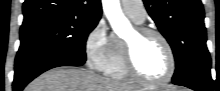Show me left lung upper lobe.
<instances>
[{"mask_svg":"<svg viewBox=\"0 0 220 91\" xmlns=\"http://www.w3.org/2000/svg\"><path fill=\"white\" fill-rule=\"evenodd\" d=\"M175 57L173 78L201 66H210L201 0H143Z\"/></svg>","mask_w":220,"mask_h":91,"instance_id":"left-lung-upper-lobe-1","label":"left lung upper lobe"}]
</instances>
